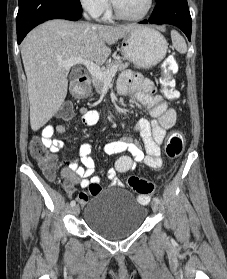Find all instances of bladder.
<instances>
[{
    "instance_id": "1",
    "label": "bladder",
    "mask_w": 227,
    "mask_h": 279,
    "mask_svg": "<svg viewBox=\"0 0 227 279\" xmlns=\"http://www.w3.org/2000/svg\"><path fill=\"white\" fill-rule=\"evenodd\" d=\"M83 215L87 227L97 235L117 240L134 233L143 224L147 210L139 204L130 191L117 188L93 194Z\"/></svg>"
}]
</instances>
